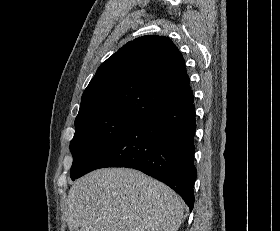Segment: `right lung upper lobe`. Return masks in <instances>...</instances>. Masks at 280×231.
<instances>
[{
  "label": "right lung upper lobe",
  "mask_w": 280,
  "mask_h": 231,
  "mask_svg": "<svg viewBox=\"0 0 280 231\" xmlns=\"http://www.w3.org/2000/svg\"><path fill=\"white\" fill-rule=\"evenodd\" d=\"M184 64L167 37L148 35L128 42L100 65L82 95L75 120H142L159 109L192 100Z\"/></svg>",
  "instance_id": "cb5924a9"
}]
</instances>
